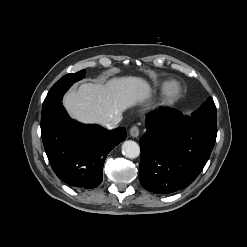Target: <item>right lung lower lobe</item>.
<instances>
[{
    "instance_id": "98d812e1",
    "label": "right lung lower lobe",
    "mask_w": 247,
    "mask_h": 247,
    "mask_svg": "<svg viewBox=\"0 0 247 247\" xmlns=\"http://www.w3.org/2000/svg\"><path fill=\"white\" fill-rule=\"evenodd\" d=\"M41 134L56 175L77 188H94L102 182L107 155L126 138L124 127L106 130L71 119L62 102L42 111Z\"/></svg>"
}]
</instances>
